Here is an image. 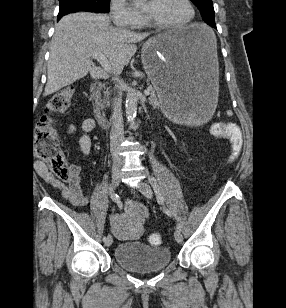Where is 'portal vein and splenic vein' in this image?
I'll return each instance as SVG.
<instances>
[{
    "mask_svg": "<svg viewBox=\"0 0 286 308\" xmlns=\"http://www.w3.org/2000/svg\"><path fill=\"white\" fill-rule=\"evenodd\" d=\"M92 57L95 58L101 64L104 70H107V71L111 70L110 62L108 61L107 57L103 53L94 51L92 53ZM150 92H151L150 88H147L144 91V94L149 95Z\"/></svg>",
    "mask_w": 286,
    "mask_h": 308,
    "instance_id": "1",
    "label": "portal vein and splenic vein"
}]
</instances>
